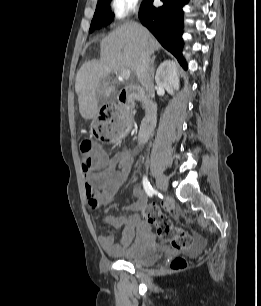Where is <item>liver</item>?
Here are the masks:
<instances>
[{"instance_id":"obj_1","label":"liver","mask_w":261,"mask_h":306,"mask_svg":"<svg viewBox=\"0 0 261 306\" xmlns=\"http://www.w3.org/2000/svg\"><path fill=\"white\" fill-rule=\"evenodd\" d=\"M160 47L154 36L141 24L128 21L115 29L100 43V59L84 63L76 75L75 90L79 112L84 119H93L98 113L97 89L110 73L122 70L136 71L137 61L144 50L153 54ZM115 91L107 87L105 97Z\"/></svg>"}]
</instances>
